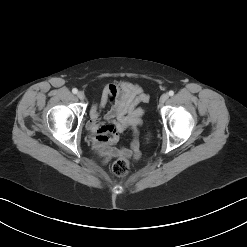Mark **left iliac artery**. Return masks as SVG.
I'll use <instances>...</instances> for the list:
<instances>
[{
  "instance_id": "1",
  "label": "left iliac artery",
  "mask_w": 247,
  "mask_h": 247,
  "mask_svg": "<svg viewBox=\"0 0 247 247\" xmlns=\"http://www.w3.org/2000/svg\"><path fill=\"white\" fill-rule=\"evenodd\" d=\"M168 94H169V96H173L174 95V91L171 90V91H169Z\"/></svg>"
}]
</instances>
